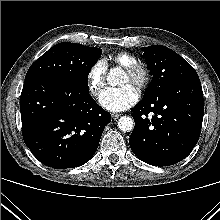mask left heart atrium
<instances>
[{"label":"left heart atrium","instance_id":"39dd6f15","mask_svg":"<svg viewBox=\"0 0 220 220\" xmlns=\"http://www.w3.org/2000/svg\"><path fill=\"white\" fill-rule=\"evenodd\" d=\"M139 98L137 89L131 84L117 88H106L99 97L101 106L109 111H124L133 106Z\"/></svg>","mask_w":220,"mask_h":220}]
</instances>
